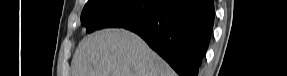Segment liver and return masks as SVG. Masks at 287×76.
Segmentation results:
<instances>
[{
  "label": "liver",
  "instance_id": "1",
  "mask_svg": "<svg viewBox=\"0 0 287 76\" xmlns=\"http://www.w3.org/2000/svg\"><path fill=\"white\" fill-rule=\"evenodd\" d=\"M72 76H176L138 35L104 29L84 37L72 59Z\"/></svg>",
  "mask_w": 287,
  "mask_h": 76
}]
</instances>
